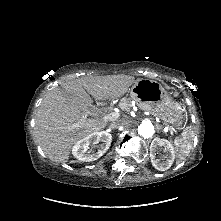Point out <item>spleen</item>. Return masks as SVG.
I'll return each instance as SVG.
<instances>
[{
	"label": "spleen",
	"instance_id": "3e777b00",
	"mask_svg": "<svg viewBox=\"0 0 221 221\" xmlns=\"http://www.w3.org/2000/svg\"><path fill=\"white\" fill-rule=\"evenodd\" d=\"M193 138L194 132L190 127H188L183 131L181 137H178L174 140L175 151L177 153L179 162L185 160V158L189 155L193 144Z\"/></svg>",
	"mask_w": 221,
	"mask_h": 221
}]
</instances>
